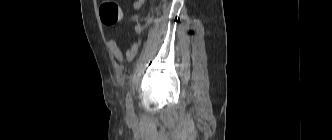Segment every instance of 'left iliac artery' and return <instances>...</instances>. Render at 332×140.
<instances>
[{"label":"left iliac artery","mask_w":332,"mask_h":140,"mask_svg":"<svg viewBox=\"0 0 332 140\" xmlns=\"http://www.w3.org/2000/svg\"><path fill=\"white\" fill-rule=\"evenodd\" d=\"M126 109L128 110L129 113L134 112L133 100H132V95H131L130 91H128L127 95H126Z\"/></svg>","instance_id":"left-iliac-artery-1"}]
</instances>
